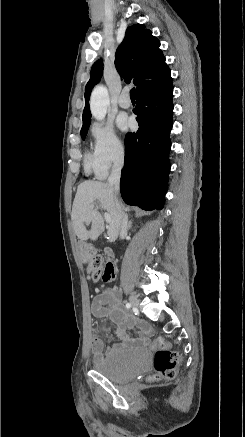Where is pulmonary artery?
<instances>
[{"instance_id":"1","label":"pulmonary artery","mask_w":245,"mask_h":437,"mask_svg":"<svg viewBox=\"0 0 245 437\" xmlns=\"http://www.w3.org/2000/svg\"><path fill=\"white\" fill-rule=\"evenodd\" d=\"M118 104L121 108L127 109L131 106V101L128 97V89H124L119 96Z\"/></svg>"}]
</instances>
